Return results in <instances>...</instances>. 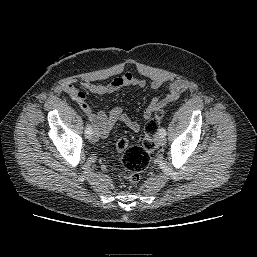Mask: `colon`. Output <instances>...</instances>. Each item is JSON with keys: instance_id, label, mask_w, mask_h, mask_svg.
<instances>
[{"instance_id": "colon-1", "label": "colon", "mask_w": 257, "mask_h": 257, "mask_svg": "<svg viewBox=\"0 0 257 257\" xmlns=\"http://www.w3.org/2000/svg\"><path fill=\"white\" fill-rule=\"evenodd\" d=\"M163 117L160 110L144 127V139L141 146L132 145L128 138L121 137L116 149L122 153L121 178L130 183H137L148 168L151 158L157 153L155 134Z\"/></svg>"}]
</instances>
